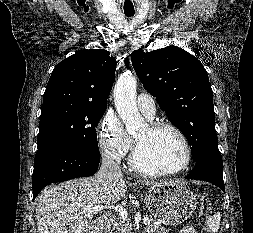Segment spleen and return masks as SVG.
<instances>
[{"mask_svg":"<svg viewBox=\"0 0 253 233\" xmlns=\"http://www.w3.org/2000/svg\"><path fill=\"white\" fill-rule=\"evenodd\" d=\"M220 219L221 217L219 212H216L213 216H209L207 218L208 227L213 233L218 232L220 226Z\"/></svg>","mask_w":253,"mask_h":233,"instance_id":"obj_1","label":"spleen"}]
</instances>
